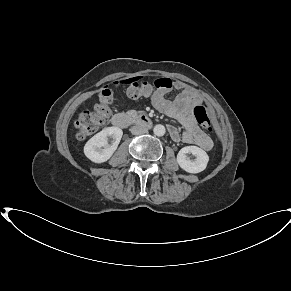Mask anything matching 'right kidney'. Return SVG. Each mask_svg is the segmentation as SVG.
Segmentation results:
<instances>
[{
	"instance_id": "ca27d5eb",
	"label": "right kidney",
	"mask_w": 291,
	"mask_h": 291,
	"mask_svg": "<svg viewBox=\"0 0 291 291\" xmlns=\"http://www.w3.org/2000/svg\"><path fill=\"white\" fill-rule=\"evenodd\" d=\"M118 127H108L94 135L84 146L85 156L94 163H103L110 159L122 138ZM112 139V144L108 139Z\"/></svg>"
}]
</instances>
